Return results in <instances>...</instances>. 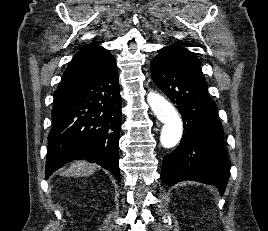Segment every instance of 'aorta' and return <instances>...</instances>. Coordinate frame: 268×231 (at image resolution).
I'll list each match as a JSON object with an SVG mask.
<instances>
[{
    "label": "aorta",
    "instance_id": "obj_1",
    "mask_svg": "<svg viewBox=\"0 0 268 231\" xmlns=\"http://www.w3.org/2000/svg\"><path fill=\"white\" fill-rule=\"evenodd\" d=\"M147 101L154 115L164 126L160 134V142L164 148L174 147L181 139L183 124L174 106L163 96L153 91L147 95Z\"/></svg>",
    "mask_w": 268,
    "mask_h": 231
}]
</instances>
